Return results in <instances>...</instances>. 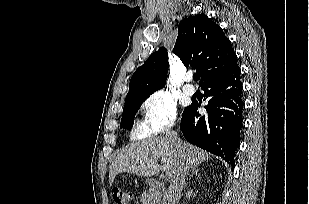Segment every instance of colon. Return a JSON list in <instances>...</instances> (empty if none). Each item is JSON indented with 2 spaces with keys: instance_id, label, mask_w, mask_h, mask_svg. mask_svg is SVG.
<instances>
[{
  "instance_id": "colon-1",
  "label": "colon",
  "mask_w": 309,
  "mask_h": 204,
  "mask_svg": "<svg viewBox=\"0 0 309 204\" xmlns=\"http://www.w3.org/2000/svg\"><path fill=\"white\" fill-rule=\"evenodd\" d=\"M112 196L115 204H129L131 200V193L124 189H114Z\"/></svg>"
}]
</instances>
